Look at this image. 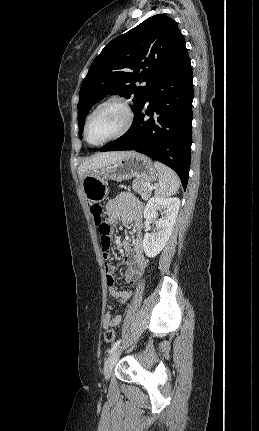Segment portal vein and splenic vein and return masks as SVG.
I'll list each match as a JSON object with an SVG mask.
<instances>
[{
    "label": "portal vein and splenic vein",
    "mask_w": 259,
    "mask_h": 431,
    "mask_svg": "<svg viewBox=\"0 0 259 431\" xmlns=\"http://www.w3.org/2000/svg\"><path fill=\"white\" fill-rule=\"evenodd\" d=\"M147 187H148L150 190H152V189H153V187H152L149 183H147Z\"/></svg>",
    "instance_id": "obj_1"
}]
</instances>
